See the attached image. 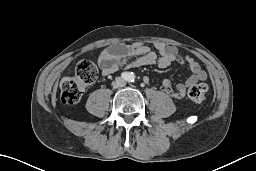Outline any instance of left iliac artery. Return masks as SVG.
<instances>
[{
	"label": "left iliac artery",
	"mask_w": 256,
	"mask_h": 171,
	"mask_svg": "<svg viewBox=\"0 0 256 171\" xmlns=\"http://www.w3.org/2000/svg\"><path fill=\"white\" fill-rule=\"evenodd\" d=\"M130 79L133 81V80H134V75H131V76H130Z\"/></svg>",
	"instance_id": "obj_1"
}]
</instances>
